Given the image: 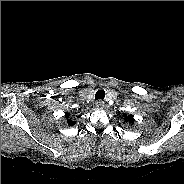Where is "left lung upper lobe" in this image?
Listing matches in <instances>:
<instances>
[{
	"label": "left lung upper lobe",
	"instance_id": "obj_1",
	"mask_svg": "<svg viewBox=\"0 0 184 184\" xmlns=\"http://www.w3.org/2000/svg\"><path fill=\"white\" fill-rule=\"evenodd\" d=\"M123 116L125 117V122H130L131 124L134 123L133 115H128L127 116V114H123Z\"/></svg>",
	"mask_w": 184,
	"mask_h": 184
}]
</instances>
